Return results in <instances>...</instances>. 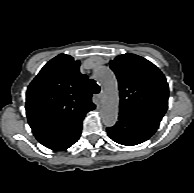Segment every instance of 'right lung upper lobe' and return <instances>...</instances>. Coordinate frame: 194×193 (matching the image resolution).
<instances>
[{"mask_svg": "<svg viewBox=\"0 0 194 193\" xmlns=\"http://www.w3.org/2000/svg\"><path fill=\"white\" fill-rule=\"evenodd\" d=\"M79 65L60 54L28 86L26 114L35 136L58 130L95 108L86 86L88 77L79 72Z\"/></svg>", "mask_w": 194, "mask_h": 193, "instance_id": "right-lung-upper-lobe-1", "label": "right lung upper lobe"}]
</instances>
